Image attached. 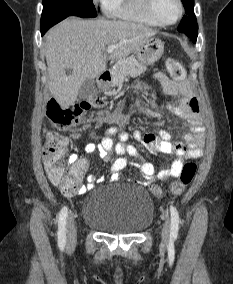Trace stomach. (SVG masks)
I'll list each match as a JSON object with an SVG mask.
<instances>
[{"label": "stomach", "instance_id": "stomach-1", "mask_svg": "<svg viewBox=\"0 0 233 284\" xmlns=\"http://www.w3.org/2000/svg\"><path fill=\"white\" fill-rule=\"evenodd\" d=\"M164 53V43L156 38H149L135 52L139 62L143 65H151L158 61ZM108 87V86H106Z\"/></svg>", "mask_w": 233, "mask_h": 284}]
</instances>
